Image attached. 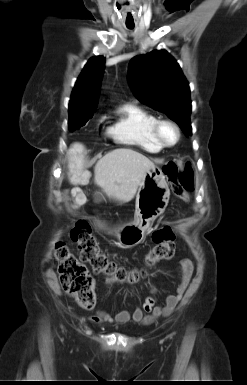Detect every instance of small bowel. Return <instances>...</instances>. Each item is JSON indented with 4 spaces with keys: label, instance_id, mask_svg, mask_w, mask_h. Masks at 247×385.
Segmentation results:
<instances>
[{
    "label": "small bowel",
    "instance_id": "obj_1",
    "mask_svg": "<svg viewBox=\"0 0 247 385\" xmlns=\"http://www.w3.org/2000/svg\"><path fill=\"white\" fill-rule=\"evenodd\" d=\"M194 265L190 259H183L179 263V283L176 287L175 293L167 297L166 303L163 306L156 305L155 301V288L150 287L151 294L145 299L142 307H136L133 310H122L115 315H111L108 312L97 309L95 314L90 317V320L95 323H126L133 320L142 324H149L156 318L163 316H170L179 305L183 295L189 285L193 274ZM111 279H107L108 286L112 284ZM144 313H150L145 316Z\"/></svg>",
    "mask_w": 247,
    "mask_h": 385
}]
</instances>
